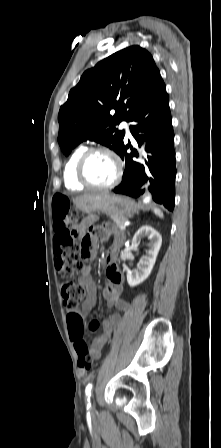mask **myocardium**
I'll return each mask as SVG.
<instances>
[{"label":"myocardium","instance_id":"obj_1","mask_svg":"<svg viewBox=\"0 0 221 448\" xmlns=\"http://www.w3.org/2000/svg\"><path fill=\"white\" fill-rule=\"evenodd\" d=\"M96 154H106L110 156L116 166V174L114 179L106 185H98L94 184L90 181L88 176L86 175V166L89 159ZM123 162L120 156L112 149L107 147H95L87 149L78 159L75 169L76 179L86 187L95 188V189H111L118 185L123 176Z\"/></svg>","mask_w":221,"mask_h":448}]
</instances>
